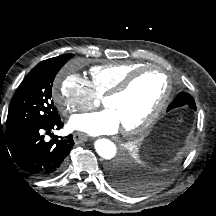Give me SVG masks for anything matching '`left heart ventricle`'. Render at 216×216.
<instances>
[{
    "mask_svg": "<svg viewBox=\"0 0 216 216\" xmlns=\"http://www.w3.org/2000/svg\"><path fill=\"white\" fill-rule=\"evenodd\" d=\"M164 91V77L158 71H149L136 78L125 93L108 99L105 105L116 113L121 128L131 127L148 116Z\"/></svg>",
    "mask_w": 216,
    "mask_h": 216,
    "instance_id": "1",
    "label": "left heart ventricle"
}]
</instances>
